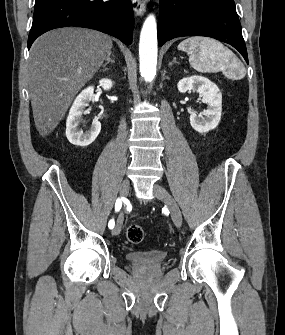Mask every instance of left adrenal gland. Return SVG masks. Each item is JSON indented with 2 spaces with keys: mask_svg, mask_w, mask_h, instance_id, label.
<instances>
[{
  "mask_svg": "<svg viewBox=\"0 0 285 335\" xmlns=\"http://www.w3.org/2000/svg\"><path fill=\"white\" fill-rule=\"evenodd\" d=\"M173 64H178V62H176V58H173L172 62H169V66H173Z\"/></svg>",
  "mask_w": 285,
  "mask_h": 335,
  "instance_id": "1",
  "label": "left adrenal gland"
}]
</instances>
